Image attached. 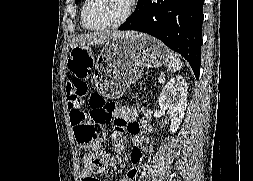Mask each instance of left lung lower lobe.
<instances>
[{"instance_id":"left-lung-lower-lobe-1","label":"left lung lower lobe","mask_w":253,"mask_h":181,"mask_svg":"<svg viewBox=\"0 0 253 181\" xmlns=\"http://www.w3.org/2000/svg\"><path fill=\"white\" fill-rule=\"evenodd\" d=\"M204 0H139L120 30L150 34L180 53L198 79L201 63Z\"/></svg>"}]
</instances>
